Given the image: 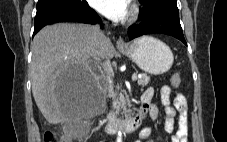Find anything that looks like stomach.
Here are the masks:
<instances>
[{"mask_svg": "<svg viewBox=\"0 0 227 142\" xmlns=\"http://www.w3.org/2000/svg\"><path fill=\"white\" fill-rule=\"evenodd\" d=\"M120 51L135 62L139 68L153 75L167 72L173 64V54L163 42L143 36L135 39Z\"/></svg>", "mask_w": 227, "mask_h": 142, "instance_id": "stomach-1", "label": "stomach"}]
</instances>
